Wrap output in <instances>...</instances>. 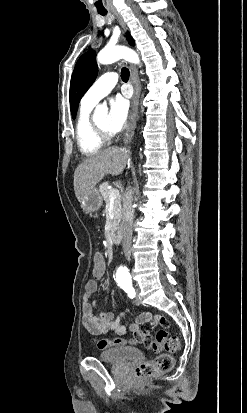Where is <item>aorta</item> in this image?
I'll return each instance as SVG.
<instances>
[{
    "instance_id": "1",
    "label": "aorta",
    "mask_w": 247,
    "mask_h": 413,
    "mask_svg": "<svg viewBox=\"0 0 247 413\" xmlns=\"http://www.w3.org/2000/svg\"><path fill=\"white\" fill-rule=\"evenodd\" d=\"M123 58L131 63H139V57L135 51L125 46L105 47L97 55V61L101 64L113 63L116 60ZM103 107L97 106V110H102ZM122 275H127L125 270H121Z\"/></svg>"
}]
</instances>
